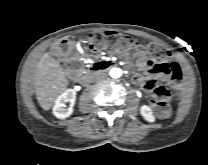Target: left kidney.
Instances as JSON below:
<instances>
[{
	"label": "left kidney",
	"mask_w": 208,
	"mask_h": 165,
	"mask_svg": "<svg viewBox=\"0 0 208 165\" xmlns=\"http://www.w3.org/2000/svg\"><path fill=\"white\" fill-rule=\"evenodd\" d=\"M140 113L143 116V118L148 121V122H154L155 117L152 113V110L149 106L147 105H142L140 108Z\"/></svg>",
	"instance_id": "1"
}]
</instances>
